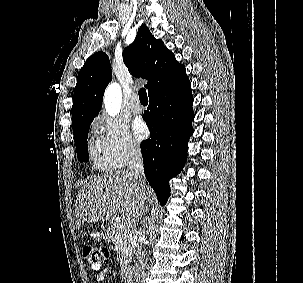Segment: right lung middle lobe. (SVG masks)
<instances>
[{"label":"right lung middle lobe","mask_w":303,"mask_h":283,"mask_svg":"<svg viewBox=\"0 0 303 283\" xmlns=\"http://www.w3.org/2000/svg\"><path fill=\"white\" fill-rule=\"evenodd\" d=\"M92 121L93 120L86 121L73 129L76 151L78 155V160L80 162H87L89 160L87 137L89 126Z\"/></svg>","instance_id":"1"}]
</instances>
